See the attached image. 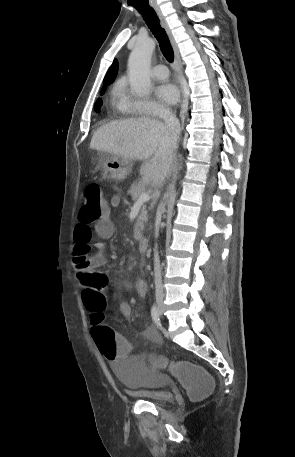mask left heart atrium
Listing matches in <instances>:
<instances>
[{"label":"left heart atrium","mask_w":295,"mask_h":457,"mask_svg":"<svg viewBox=\"0 0 295 457\" xmlns=\"http://www.w3.org/2000/svg\"><path fill=\"white\" fill-rule=\"evenodd\" d=\"M157 96L166 104H174L179 98V91L174 84L166 82L157 88Z\"/></svg>","instance_id":"1"}]
</instances>
